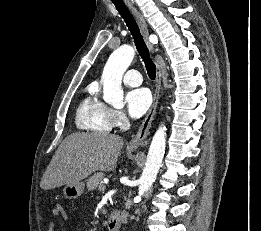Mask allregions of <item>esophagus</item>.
Wrapping results in <instances>:
<instances>
[{
	"instance_id": "esophagus-1",
	"label": "esophagus",
	"mask_w": 261,
	"mask_h": 231,
	"mask_svg": "<svg viewBox=\"0 0 261 231\" xmlns=\"http://www.w3.org/2000/svg\"><path fill=\"white\" fill-rule=\"evenodd\" d=\"M125 3L127 7L130 9V11L133 13V15L136 17L149 51L152 54H154V44L158 42V37L155 34H153L151 38L149 37V29L145 21V18L140 12L137 11V9L134 6V2L132 0H125ZM160 89H161V68L159 63L156 61V85H155L153 103L145 119L143 120L141 126L139 127L138 132L129 142L128 144L129 148H138L140 145L144 143L147 134L149 132L151 122L156 114Z\"/></svg>"
}]
</instances>
